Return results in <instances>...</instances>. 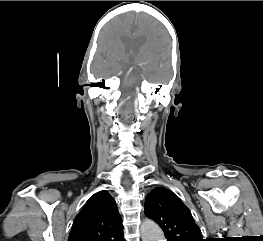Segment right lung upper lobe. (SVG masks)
Wrapping results in <instances>:
<instances>
[{
	"mask_svg": "<svg viewBox=\"0 0 263 241\" xmlns=\"http://www.w3.org/2000/svg\"><path fill=\"white\" fill-rule=\"evenodd\" d=\"M68 241H125L122 219L108 192L89 198L74 219Z\"/></svg>",
	"mask_w": 263,
	"mask_h": 241,
	"instance_id": "cb5924a9",
	"label": "right lung upper lobe"
}]
</instances>
